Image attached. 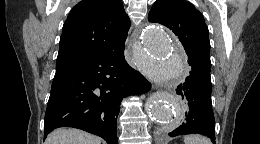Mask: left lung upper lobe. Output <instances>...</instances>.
Listing matches in <instances>:
<instances>
[{
  "label": "left lung upper lobe",
  "instance_id": "left-lung-upper-lobe-1",
  "mask_svg": "<svg viewBox=\"0 0 260 144\" xmlns=\"http://www.w3.org/2000/svg\"><path fill=\"white\" fill-rule=\"evenodd\" d=\"M148 20L173 31L182 43L188 60L211 65L209 31L202 14L186 0H156Z\"/></svg>",
  "mask_w": 260,
  "mask_h": 144
}]
</instances>
